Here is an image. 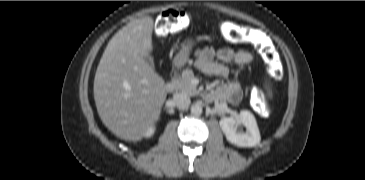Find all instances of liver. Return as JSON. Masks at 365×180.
Returning a JSON list of instances; mask_svg holds the SVG:
<instances>
[{"mask_svg": "<svg viewBox=\"0 0 365 180\" xmlns=\"http://www.w3.org/2000/svg\"><path fill=\"white\" fill-rule=\"evenodd\" d=\"M153 19H134L109 41L97 67L94 100L103 124L137 142L160 118L165 82L144 60L153 51Z\"/></svg>", "mask_w": 365, "mask_h": 180, "instance_id": "6515ba94", "label": "liver"}]
</instances>
